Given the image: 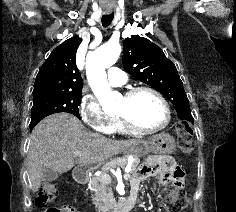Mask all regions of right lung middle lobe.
I'll return each instance as SVG.
<instances>
[{"label":"right lung middle lobe","mask_w":236,"mask_h":212,"mask_svg":"<svg viewBox=\"0 0 236 212\" xmlns=\"http://www.w3.org/2000/svg\"><path fill=\"white\" fill-rule=\"evenodd\" d=\"M33 97L30 130L44 117L58 112H68L80 119L82 92H47Z\"/></svg>","instance_id":"obj_1"}]
</instances>
